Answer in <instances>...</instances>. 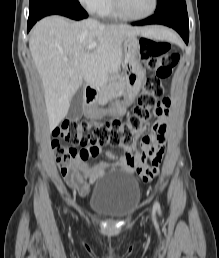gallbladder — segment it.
<instances>
[{
    "label": "gallbladder",
    "mask_w": 219,
    "mask_h": 258,
    "mask_svg": "<svg viewBox=\"0 0 219 258\" xmlns=\"http://www.w3.org/2000/svg\"><path fill=\"white\" fill-rule=\"evenodd\" d=\"M84 112L83 89L80 87L73 95L67 113V119L78 121L82 118Z\"/></svg>",
    "instance_id": "1"
}]
</instances>
